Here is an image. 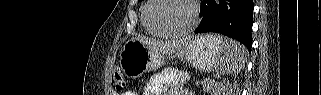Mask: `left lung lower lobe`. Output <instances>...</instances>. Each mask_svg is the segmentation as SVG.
Returning <instances> with one entry per match:
<instances>
[{"mask_svg":"<svg viewBox=\"0 0 321 95\" xmlns=\"http://www.w3.org/2000/svg\"><path fill=\"white\" fill-rule=\"evenodd\" d=\"M253 0H202L203 16L195 33L216 32L252 46Z\"/></svg>","mask_w":321,"mask_h":95,"instance_id":"1","label":"left lung lower lobe"}]
</instances>
